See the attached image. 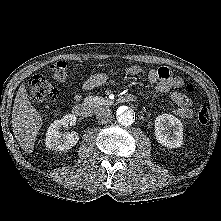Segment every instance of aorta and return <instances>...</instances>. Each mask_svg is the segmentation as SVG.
Segmentation results:
<instances>
[{
    "instance_id": "aorta-1",
    "label": "aorta",
    "mask_w": 221,
    "mask_h": 221,
    "mask_svg": "<svg viewBox=\"0 0 221 221\" xmlns=\"http://www.w3.org/2000/svg\"><path fill=\"white\" fill-rule=\"evenodd\" d=\"M117 120L123 126H130L135 122V112L127 107H120L117 110Z\"/></svg>"
}]
</instances>
